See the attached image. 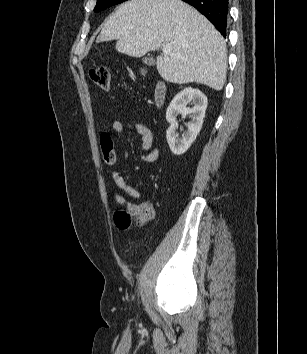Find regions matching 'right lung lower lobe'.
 Instances as JSON below:
<instances>
[{
    "label": "right lung lower lobe",
    "mask_w": 307,
    "mask_h": 354,
    "mask_svg": "<svg viewBox=\"0 0 307 354\" xmlns=\"http://www.w3.org/2000/svg\"><path fill=\"white\" fill-rule=\"evenodd\" d=\"M199 12L226 37L227 23L229 18V0H183Z\"/></svg>",
    "instance_id": "right-lung-lower-lobe-1"
}]
</instances>
